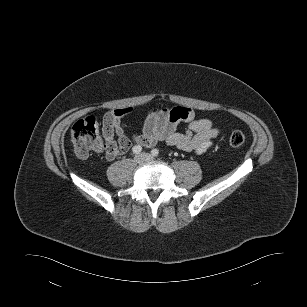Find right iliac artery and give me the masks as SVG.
Returning <instances> with one entry per match:
<instances>
[{
  "mask_svg": "<svg viewBox=\"0 0 307 307\" xmlns=\"http://www.w3.org/2000/svg\"><path fill=\"white\" fill-rule=\"evenodd\" d=\"M132 151L134 154H139L141 151H142V147L139 146V145H135L133 148H132Z\"/></svg>",
  "mask_w": 307,
  "mask_h": 307,
  "instance_id": "1",
  "label": "right iliac artery"
}]
</instances>
